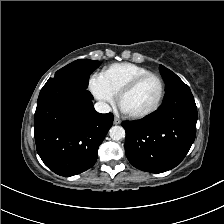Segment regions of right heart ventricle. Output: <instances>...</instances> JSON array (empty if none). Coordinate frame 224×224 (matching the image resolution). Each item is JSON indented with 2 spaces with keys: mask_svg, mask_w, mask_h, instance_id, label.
<instances>
[{
  "mask_svg": "<svg viewBox=\"0 0 224 224\" xmlns=\"http://www.w3.org/2000/svg\"><path fill=\"white\" fill-rule=\"evenodd\" d=\"M147 73H150V71L142 66L122 62L104 68L99 76L107 89L116 95L130 80Z\"/></svg>",
  "mask_w": 224,
  "mask_h": 224,
  "instance_id": "obj_1",
  "label": "right heart ventricle"
}]
</instances>
